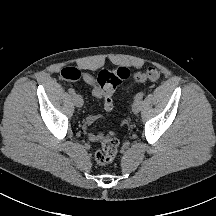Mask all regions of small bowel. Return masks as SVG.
<instances>
[{"instance_id":"1","label":"small bowel","mask_w":216,"mask_h":216,"mask_svg":"<svg viewBox=\"0 0 216 216\" xmlns=\"http://www.w3.org/2000/svg\"><path fill=\"white\" fill-rule=\"evenodd\" d=\"M80 78L88 85H90L92 87V94L94 97H96L97 99L103 100L104 101V108L107 111H110L113 107L109 108L107 107V105L105 104V95L103 93V91L101 90L96 78L88 73V72H80ZM98 119V116L95 114H89L86 117L85 123L88 126H91L92 124H94ZM89 139L93 142H97L101 140V135L99 133L96 132H91L89 134Z\"/></svg>"}]
</instances>
